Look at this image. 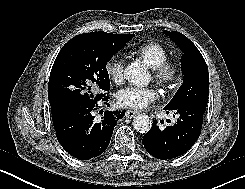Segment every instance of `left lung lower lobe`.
Masks as SVG:
<instances>
[{"label": "left lung lower lobe", "mask_w": 245, "mask_h": 189, "mask_svg": "<svg viewBox=\"0 0 245 189\" xmlns=\"http://www.w3.org/2000/svg\"><path fill=\"white\" fill-rule=\"evenodd\" d=\"M179 116L177 123L161 129L157 120H153L151 129L143 137L146 151L158 159H172L187 152L197 141L202 128L205 111L195 106L170 109Z\"/></svg>", "instance_id": "left-lung-lower-lobe-1"}]
</instances>
